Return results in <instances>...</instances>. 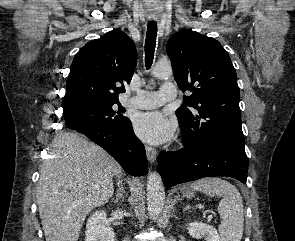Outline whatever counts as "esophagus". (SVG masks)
I'll use <instances>...</instances> for the list:
<instances>
[{"mask_svg":"<svg viewBox=\"0 0 295 241\" xmlns=\"http://www.w3.org/2000/svg\"><path fill=\"white\" fill-rule=\"evenodd\" d=\"M146 155L150 163H155L157 159V150L151 146L145 145Z\"/></svg>","mask_w":295,"mask_h":241,"instance_id":"obj_1","label":"esophagus"}]
</instances>
